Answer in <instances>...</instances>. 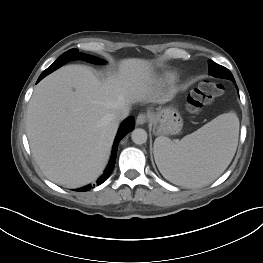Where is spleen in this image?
<instances>
[{
	"instance_id": "obj_1",
	"label": "spleen",
	"mask_w": 263,
	"mask_h": 263,
	"mask_svg": "<svg viewBox=\"0 0 263 263\" xmlns=\"http://www.w3.org/2000/svg\"><path fill=\"white\" fill-rule=\"evenodd\" d=\"M238 136L237 115L224 113L180 141L157 137L154 158L165 179L184 187H201L213 182L228 167Z\"/></svg>"
}]
</instances>
